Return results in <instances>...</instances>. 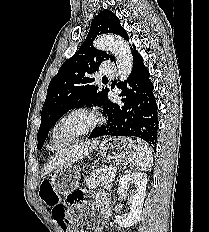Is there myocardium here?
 <instances>
[{
    "instance_id": "myocardium-1",
    "label": "myocardium",
    "mask_w": 209,
    "mask_h": 232,
    "mask_svg": "<svg viewBox=\"0 0 209 232\" xmlns=\"http://www.w3.org/2000/svg\"><path fill=\"white\" fill-rule=\"evenodd\" d=\"M81 115L86 118V123L78 130L76 131H65L63 129V125L66 121L69 119ZM101 118L98 113H96L93 110L84 108V107H78L74 108L64 115H62L54 124L52 130H51V135H50V141H49V148L51 150L54 149L53 147V142L54 140L60 138L65 141L67 140H72L79 138L83 135H86L90 132H92L97 126L100 124Z\"/></svg>"
}]
</instances>
